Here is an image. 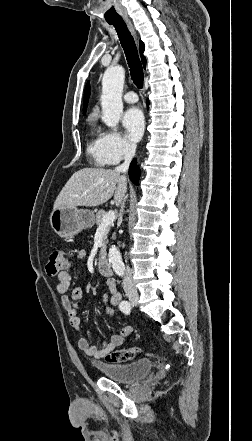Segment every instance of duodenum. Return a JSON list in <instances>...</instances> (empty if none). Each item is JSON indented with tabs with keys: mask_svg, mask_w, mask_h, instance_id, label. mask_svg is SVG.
<instances>
[{
	"mask_svg": "<svg viewBox=\"0 0 252 441\" xmlns=\"http://www.w3.org/2000/svg\"><path fill=\"white\" fill-rule=\"evenodd\" d=\"M98 268H99V271L106 276H111L113 274L112 266H111L108 258L105 256H101L99 258Z\"/></svg>",
	"mask_w": 252,
	"mask_h": 441,
	"instance_id": "1",
	"label": "duodenum"
}]
</instances>
